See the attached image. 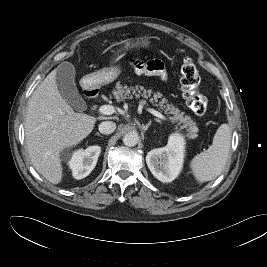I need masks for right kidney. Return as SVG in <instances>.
<instances>
[{
  "instance_id": "obj_1",
  "label": "right kidney",
  "mask_w": 267,
  "mask_h": 267,
  "mask_svg": "<svg viewBox=\"0 0 267 267\" xmlns=\"http://www.w3.org/2000/svg\"><path fill=\"white\" fill-rule=\"evenodd\" d=\"M100 153V146H90L85 150L75 151L68 162L73 177L78 180L87 177L95 168Z\"/></svg>"
}]
</instances>
